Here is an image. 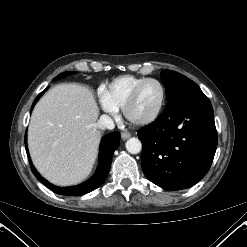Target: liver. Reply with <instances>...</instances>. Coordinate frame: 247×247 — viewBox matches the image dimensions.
<instances>
[{
    "instance_id": "6515ba94",
    "label": "liver",
    "mask_w": 247,
    "mask_h": 247,
    "mask_svg": "<svg viewBox=\"0 0 247 247\" xmlns=\"http://www.w3.org/2000/svg\"><path fill=\"white\" fill-rule=\"evenodd\" d=\"M93 92L78 84H60L36 104L28 129L32 161L48 181L74 185L92 171L101 134Z\"/></svg>"
}]
</instances>
